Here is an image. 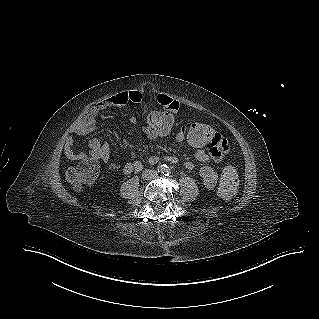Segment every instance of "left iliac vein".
<instances>
[{"mask_svg": "<svg viewBox=\"0 0 319 319\" xmlns=\"http://www.w3.org/2000/svg\"><path fill=\"white\" fill-rule=\"evenodd\" d=\"M153 176H156V173L155 172H153V174H152Z\"/></svg>", "mask_w": 319, "mask_h": 319, "instance_id": "obj_1", "label": "left iliac vein"}]
</instances>
